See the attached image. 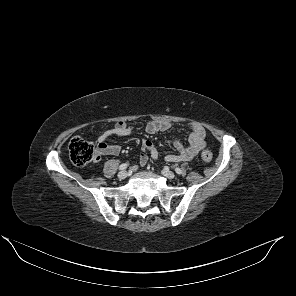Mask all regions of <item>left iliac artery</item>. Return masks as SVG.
I'll return each mask as SVG.
<instances>
[{
    "label": "left iliac artery",
    "mask_w": 296,
    "mask_h": 296,
    "mask_svg": "<svg viewBox=\"0 0 296 296\" xmlns=\"http://www.w3.org/2000/svg\"><path fill=\"white\" fill-rule=\"evenodd\" d=\"M175 172H176L177 174H182L183 171H182L180 168H177V167H176V168H175Z\"/></svg>",
    "instance_id": "1"
}]
</instances>
